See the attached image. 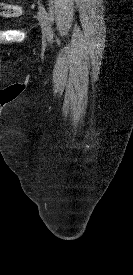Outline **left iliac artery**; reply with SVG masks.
I'll list each match as a JSON object with an SVG mask.
<instances>
[{
	"instance_id": "left-iliac-artery-1",
	"label": "left iliac artery",
	"mask_w": 133,
	"mask_h": 275,
	"mask_svg": "<svg viewBox=\"0 0 133 275\" xmlns=\"http://www.w3.org/2000/svg\"><path fill=\"white\" fill-rule=\"evenodd\" d=\"M39 12L43 15V17L45 18V20L48 22L49 21V14L47 13L46 9L44 8L43 5H39L38 7ZM53 38V32L51 30V32H49V39L51 40Z\"/></svg>"
}]
</instances>
